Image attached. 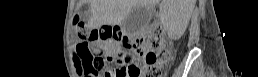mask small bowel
<instances>
[{
  "label": "small bowel",
  "instance_id": "c3829d8e",
  "mask_svg": "<svg viewBox=\"0 0 258 77\" xmlns=\"http://www.w3.org/2000/svg\"><path fill=\"white\" fill-rule=\"evenodd\" d=\"M110 53L113 58H116L117 55L120 53V50L116 48L114 45L110 47Z\"/></svg>",
  "mask_w": 258,
  "mask_h": 77
}]
</instances>
